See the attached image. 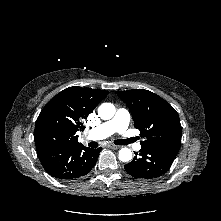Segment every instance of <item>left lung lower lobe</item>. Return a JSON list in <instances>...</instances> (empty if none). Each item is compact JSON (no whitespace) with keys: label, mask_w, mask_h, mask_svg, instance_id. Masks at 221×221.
I'll return each instance as SVG.
<instances>
[{"label":"left lung lower lobe","mask_w":221,"mask_h":221,"mask_svg":"<svg viewBox=\"0 0 221 221\" xmlns=\"http://www.w3.org/2000/svg\"><path fill=\"white\" fill-rule=\"evenodd\" d=\"M177 153L142 145L133 160L125 165L128 174L140 179H154L165 174L172 165Z\"/></svg>","instance_id":"obj_1"}]
</instances>
